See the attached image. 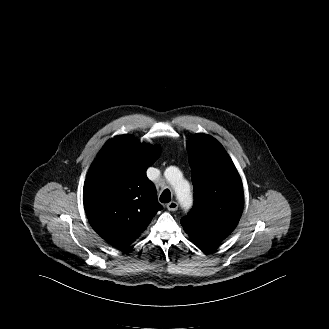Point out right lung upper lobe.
<instances>
[{"instance_id":"cb5924a9","label":"right lung upper lobe","mask_w":329,"mask_h":329,"mask_svg":"<svg viewBox=\"0 0 329 329\" xmlns=\"http://www.w3.org/2000/svg\"><path fill=\"white\" fill-rule=\"evenodd\" d=\"M158 156V147L120 135L106 142L88 171L83 190L87 218L117 248L128 247L162 209L146 176Z\"/></svg>"}]
</instances>
